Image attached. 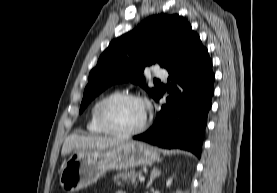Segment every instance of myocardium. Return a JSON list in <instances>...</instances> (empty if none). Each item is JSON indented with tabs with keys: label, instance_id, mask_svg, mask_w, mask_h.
Segmentation results:
<instances>
[{
	"label": "myocardium",
	"instance_id": "f54148a6",
	"mask_svg": "<svg viewBox=\"0 0 277 193\" xmlns=\"http://www.w3.org/2000/svg\"><path fill=\"white\" fill-rule=\"evenodd\" d=\"M122 100H136L140 101L145 105L146 112L144 119L142 123L129 131H119L114 129L108 122L107 117H106V111L108 107L116 102L122 101ZM149 110H148V105L147 102L139 95L133 94V93H116L114 95H111L109 97H106L103 99L100 104L97 107L96 110V120L100 128L109 135L115 136V137H120V138H127V137H132L134 135L140 134L143 132L148 124H149Z\"/></svg>",
	"mask_w": 277,
	"mask_h": 193
}]
</instances>
